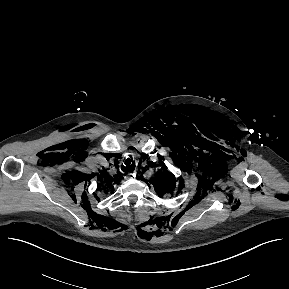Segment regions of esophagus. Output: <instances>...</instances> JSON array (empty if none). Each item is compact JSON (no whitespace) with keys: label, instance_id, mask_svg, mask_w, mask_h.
<instances>
[{"label":"esophagus","instance_id":"34e87169","mask_svg":"<svg viewBox=\"0 0 289 289\" xmlns=\"http://www.w3.org/2000/svg\"><path fill=\"white\" fill-rule=\"evenodd\" d=\"M134 177V174H129L128 175V178H133Z\"/></svg>","mask_w":289,"mask_h":289}]
</instances>
